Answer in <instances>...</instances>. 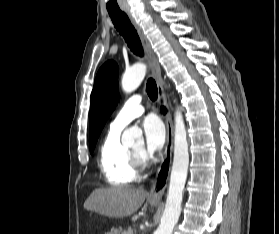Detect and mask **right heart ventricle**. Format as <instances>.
<instances>
[{"mask_svg": "<svg viewBox=\"0 0 279 234\" xmlns=\"http://www.w3.org/2000/svg\"><path fill=\"white\" fill-rule=\"evenodd\" d=\"M100 169L105 181L112 186H124L134 182L138 171L131 150L120 141V131L109 130L99 151Z\"/></svg>", "mask_w": 279, "mask_h": 234, "instance_id": "right-heart-ventricle-1", "label": "right heart ventricle"}]
</instances>
